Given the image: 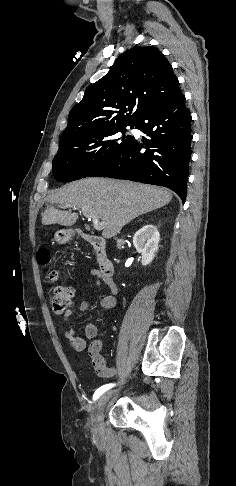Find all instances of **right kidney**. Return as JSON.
Wrapping results in <instances>:
<instances>
[{
    "instance_id": "right-kidney-1",
    "label": "right kidney",
    "mask_w": 236,
    "mask_h": 486,
    "mask_svg": "<svg viewBox=\"0 0 236 486\" xmlns=\"http://www.w3.org/2000/svg\"><path fill=\"white\" fill-rule=\"evenodd\" d=\"M159 240V231L151 224L143 226L134 234L133 245L141 253L143 266L149 265L153 261L158 250Z\"/></svg>"
}]
</instances>
